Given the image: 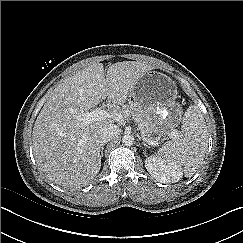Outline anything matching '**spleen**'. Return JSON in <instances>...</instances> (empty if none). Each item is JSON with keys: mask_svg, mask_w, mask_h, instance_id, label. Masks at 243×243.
Instances as JSON below:
<instances>
[{"mask_svg": "<svg viewBox=\"0 0 243 243\" xmlns=\"http://www.w3.org/2000/svg\"><path fill=\"white\" fill-rule=\"evenodd\" d=\"M208 148V131L204 117L195 104L190 105L183 117L182 134H175L166 142L156 157L184 166L186 177H192L204 160Z\"/></svg>", "mask_w": 243, "mask_h": 243, "instance_id": "3e777b00", "label": "spleen"}]
</instances>
